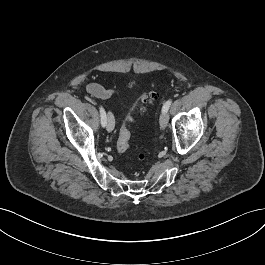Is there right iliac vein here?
I'll return each mask as SVG.
<instances>
[{
	"label": "right iliac vein",
	"mask_w": 265,
	"mask_h": 265,
	"mask_svg": "<svg viewBox=\"0 0 265 265\" xmlns=\"http://www.w3.org/2000/svg\"><path fill=\"white\" fill-rule=\"evenodd\" d=\"M114 117L111 112H108L107 114V121H106V129L108 132H111L114 129Z\"/></svg>",
	"instance_id": "1"
}]
</instances>
